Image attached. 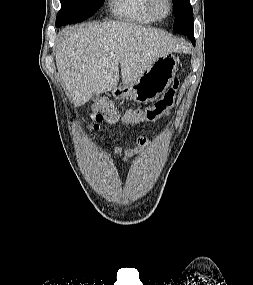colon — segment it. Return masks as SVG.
I'll return each instance as SVG.
<instances>
[{
	"mask_svg": "<svg viewBox=\"0 0 253 285\" xmlns=\"http://www.w3.org/2000/svg\"><path fill=\"white\" fill-rule=\"evenodd\" d=\"M179 87L180 81L175 79L172 87L152 106L143 110H128L122 117L111 103L101 101L95 105L94 111L90 116V128L91 130H97L103 119H106L110 123H116L122 119L127 124H137L143 121L155 120L162 116L173 104ZM90 136L95 137L96 133L91 132Z\"/></svg>",
	"mask_w": 253,
	"mask_h": 285,
	"instance_id": "colon-1",
	"label": "colon"
}]
</instances>
